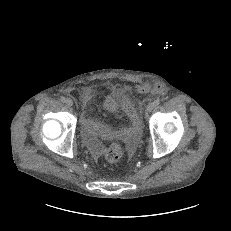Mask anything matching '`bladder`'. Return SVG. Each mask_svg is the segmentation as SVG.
Returning <instances> with one entry per match:
<instances>
[{"instance_id": "obj_1", "label": "bladder", "mask_w": 231, "mask_h": 231, "mask_svg": "<svg viewBox=\"0 0 231 231\" xmlns=\"http://www.w3.org/2000/svg\"><path fill=\"white\" fill-rule=\"evenodd\" d=\"M122 106L120 99L113 94L104 96L100 102L101 111L109 115L118 113Z\"/></svg>"}]
</instances>
